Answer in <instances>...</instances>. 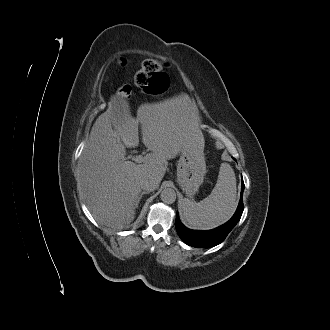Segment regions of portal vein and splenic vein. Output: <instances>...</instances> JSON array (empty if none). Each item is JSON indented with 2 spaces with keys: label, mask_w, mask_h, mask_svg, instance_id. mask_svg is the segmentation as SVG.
<instances>
[{
  "label": "portal vein and splenic vein",
  "mask_w": 330,
  "mask_h": 330,
  "mask_svg": "<svg viewBox=\"0 0 330 330\" xmlns=\"http://www.w3.org/2000/svg\"><path fill=\"white\" fill-rule=\"evenodd\" d=\"M133 160L136 162V163H142L143 160H144V157L142 155H136Z\"/></svg>",
  "instance_id": "portal-vein-and-splenic-vein-1"
}]
</instances>
